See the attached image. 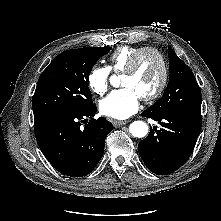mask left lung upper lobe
Listing matches in <instances>:
<instances>
[{
	"instance_id": "obj_1",
	"label": "left lung upper lobe",
	"mask_w": 221,
	"mask_h": 221,
	"mask_svg": "<svg viewBox=\"0 0 221 221\" xmlns=\"http://www.w3.org/2000/svg\"><path fill=\"white\" fill-rule=\"evenodd\" d=\"M169 83L163 96L146 111L155 116L201 114V91L191 69L169 47Z\"/></svg>"
}]
</instances>
